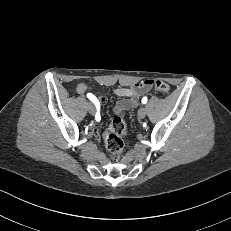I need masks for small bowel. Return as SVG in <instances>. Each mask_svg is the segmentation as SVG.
Returning <instances> with one entry per match:
<instances>
[{
  "instance_id": "small-bowel-1",
  "label": "small bowel",
  "mask_w": 231,
  "mask_h": 231,
  "mask_svg": "<svg viewBox=\"0 0 231 231\" xmlns=\"http://www.w3.org/2000/svg\"><path fill=\"white\" fill-rule=\"evenodd\" d=\"M151 87V80L142 81L134 84L131 87H119L113 90V94L121 97L122 99L117 102L114 112L116 114H124L126 111L136 107L139 103L140 96ZM88 85L84 82L79 83L76 87V91L79 94L88 92ZM89 94V93H88ZM99 105H104L107 102L105 96H99L97 98ZM92 132L96 138L100 137L97 127H92Z\"/></svg>"
}]
</instances>
